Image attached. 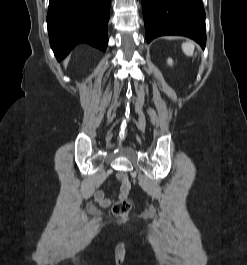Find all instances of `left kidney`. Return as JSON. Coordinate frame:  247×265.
Segmentation results:
<instances>
[{"label":"left kidney","instance_id":"5707ae66","mask_svg":"<svg viewBox=\"0 0 247 265\" xmlns=\"http://www.w3.org/2000/svg\"><path fill=\"white\" fill-rule=\"evenodd\" d=\"M168 64L172 65V59H168Z\"/></svg>","mask_w":247,"mask_h":265}]
</instances>
